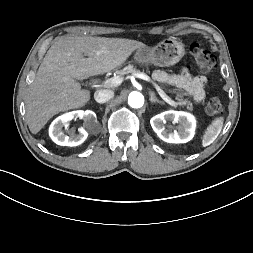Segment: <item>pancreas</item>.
Listing matches in <instances>:
<instances>
[{
  "mask_svg": "<svg viewBox=\"0 0 253 253\" xmlns=\"http://www.w3.org/2000/svg\"><path fill=\"white\" fill-rule=\"evenodd\" d=\"M138 72H139V70H137L133 65H128L121 70H117L116 74L119 76H123V75H127L130 73L134 74V73H138ZM176 100H177V102L175 103L176 105L186 106V108L188 110H190V111L193 110L192 103L190 101H188L187 99H185L183 94H177Z\"/></svg>",
  "mask_w": 253,
  "mask_h": 253,
  "instance_id": "1",
  "label": "pancreas"
}]
</instances>
